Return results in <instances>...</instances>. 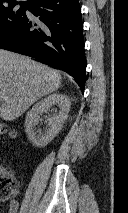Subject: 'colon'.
<instances>
[{"instance_id": "5ec220e1", "label": "colon", "mask_w": 128, "mask_h": 213, "mask_svg": "<svg viewBox=\"0 0 128 213\" xmlns=\"http://www.w3.org/2000/svg\"><path fill=\"white\" fill-rule=\"evenodd\" d=\"M0 135L16 137V132L6 124L0 123ZM19 192V184L14 174L8 169H0V201H7Z\"/></svg>"}]
</instances>
